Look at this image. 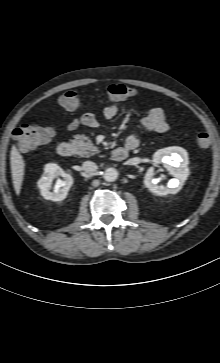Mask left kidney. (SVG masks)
<instances>
[{"mask_svg": "<svg viewBox=\"0 0 220 363\" xmlns=\"http://www.w3.org/2000/svg\"><path fill=\"white\" fill-rule=\"evenodd\" d=\"M153 162L155 165L163 163L175 178L169 180L166 187L158 185L160 180L153 178L154 167H150L144 176V185L158 196L177 193L189 175L187 152L179 147L159 149L153 154Z\"/></svg>", "mask_w": 220, "mask_h": 363, "instance_id": "1", "label": "left kidney"}]
</instances>
